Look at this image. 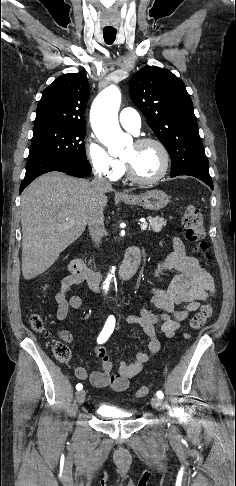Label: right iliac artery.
Listing matches in <instances>:
<instances>
[{"label": "right iliac artery", "instance_id": "obj_1", "mask_svg": "<svg viewBox=\"0 0 236 486\" xmlns=\"http://www.w3.org/2000/svg\"><path fill=\"white\" fill-rule=\"evenodd\" d=\"M114 328H115V318L113 315H110L104 325V328L103 330L101 331L100 335L98 336L97 338V342L99 344H102L104 343L105 341H107V339L110 337V335L113 333L114 331ZM82 384H77L76 385V389L77 390H81L82 389Z\"/></svg>", "mask_w": 236, "mask_h": 486}]
</instances>
